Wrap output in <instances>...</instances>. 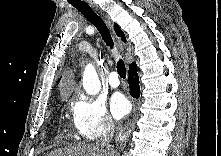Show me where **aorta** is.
I'll list each match as a JSON object with an SVG mask.
<instances>
[{"mask_svg": "<svg viewBox=\"0 0 221 156\" xmlns=\"http://www.w3.org/2000/svg\"><path fill=\"white\" fill-rule=\"evenodd\" d=\"M83 88L90 95L97 94L101 89L98 74L91 64L85 68L83 73Z\"/></svg>", "mask_w": 221, "mask_h": 156, "instance_id": "1", "label": "aorta"}]
</instances>
